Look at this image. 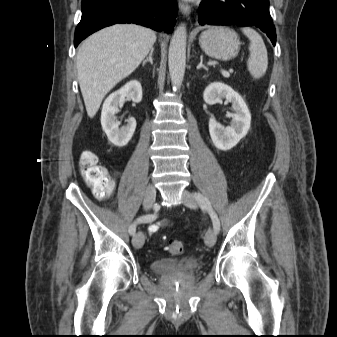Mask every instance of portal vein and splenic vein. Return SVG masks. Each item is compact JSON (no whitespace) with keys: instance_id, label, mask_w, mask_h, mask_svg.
Here are the masks:
<instances>
[{"instance_id":"18ae733b","label":"portal vein and splenic vein","mask_w":337,"mask_h":337,"mask_svg":"<svg viewBox=\"0 0 337 337\" xmlns=\"http://www.w3.org/2000/svg\"><path fill=\"white\" fill-rule=\"evenodd\" d=\"M221 73H222V75L225 76V77H229V76H230V73L227 72V71H225V70H221Z\"/></svg>"}]
</instances>
